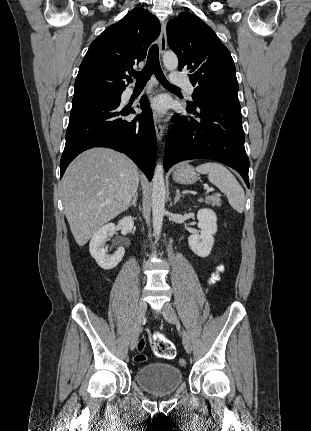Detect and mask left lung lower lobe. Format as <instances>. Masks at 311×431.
Listing matches in <instances>:
<instances>
[{
  "instance_id": "1",
  "label": "left lung lower lobe",
  "mask_w": 311,
  "mask_h": 431,
  "mask_svg": "<svg viewBox=\"0 0 311 431\" xmlns=\"http://www.w3.org/2000/svg\"><path fill=\"white\" fill-rule=\"evenodd\" d=\"M197 117L175 116L168 130L164 169L183 160L207 158L235 169L249 188V160L244 147L238 97L212 96L187 106Z\"/></svg>"
}]
</instances>
